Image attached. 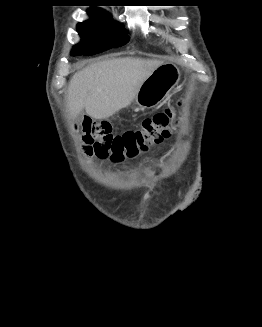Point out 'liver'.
<instances>
[{
  "label": "liver",
  "instance_id": "1",
  "mask_svg": "<svg viewBox=\"0 0 262 327\" xmlns=\"http://www.w3.org/2000/svg\"><path fill=\"white\" fill-rule=\"evenodd\" d=\"M162 61L133 57L94 63L76 73L67 90V108L75 118L83 109L106 119L129 106L146 78Z\"/></svg>",
  "mask_w": 262,
  "mask_h": 327
}]
</instances>
